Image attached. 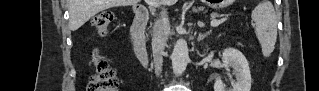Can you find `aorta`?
Listing matches in <instances>:
<instances>
[{
	"instance_id": "1",
	"label": "aorta",
	"mask_w": 319,
	"mask_h": 91,
	"mask_svg": "<svg viewBox=\"0 0 319 91\" xmlns=\"http://www.w3.org/2000/svg\"><path fill=\"white\" fill-rule=\"evenodd\" d=\"M172 68L176 75L182 74L189 61L188 46L184 40H178L172 52Z\"/></svg>"
}]
</instances>
